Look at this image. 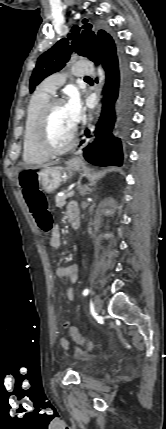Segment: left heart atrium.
I'll return each instance as SVG.
<instances>
[{"mask_svg":"<svg viewBox=\"0 0 166 429\" xmlns=\"http://www.w3.org/2000/svg\"><path fill=\"white\" fill-rule=\"evenodd\" d=\"M66 108L71 121L75 125L76 123L79 122L82 115L81 102L77 94H71L69 100L66 103Z\"/></svg>","mask_w":166,"mask_h":429,"instance_id":"obj_1","label":"left heart atrium"}]
</instances>
